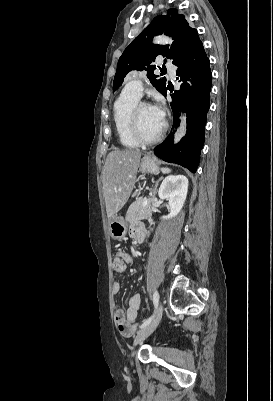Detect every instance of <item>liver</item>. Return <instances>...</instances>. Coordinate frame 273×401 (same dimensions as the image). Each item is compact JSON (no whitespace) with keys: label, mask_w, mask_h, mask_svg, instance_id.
Listing matches in <instances>:
<instances>
[{"label":"liver","mask_w":273,"mask_h":401,"mask_svg":"<svg viewBox=\"0 0 273 401\" xmlns=\"http://www.w3.org/2000/svg\"><path fill=\"white\" fill-rule=\"evenodd\" d=\"M140 150H111L103 170V194L107 217L121 211L133 190L140 164Z\"/></svg>","instance_id":"1"}]
</instances>
